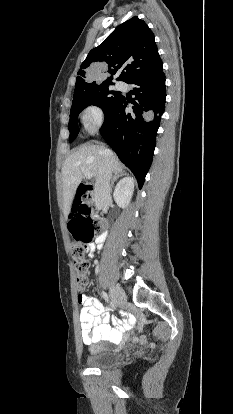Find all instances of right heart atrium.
Listing matches in <instances>:
<instances>
[{
    "label": "right heart atrium",
    "instance_id": "d8ad5b80",
    "mask_svg": "<svg viewBox=\"0 0 233 414\" xmlns=\"http://www.w3.org/2000/svg\"><path fill=\"white\" fill-rule=\"evenodd\" d=\"M81 120L86 129L94 133L104 121V112L98 105L91 104L86 106L81 113Z\"/></svg>",
    "mask_w": 233,
    "mask_h": 414
}]
</instances>
